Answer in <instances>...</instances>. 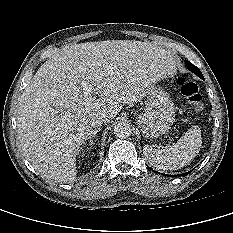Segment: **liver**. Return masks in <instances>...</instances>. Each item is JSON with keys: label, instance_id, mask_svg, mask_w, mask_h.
Wrapping results in <instances>:
<instances>
[{"label": "liver", "instance_id": "6515ba94", "mask_svg": "<svg viewBox=\"0 0 233 233\" xmlns=\"http://www.w3.org/2000/svg\"><path fill=\"white\" fill-rule=\"evenodd\" d=\"M173 70L168 52L147 42L107 40L63 48L40 66L20 97L17 132L26 158L42 177L72 181L80 148L94 132L90 118H115L123 105L140 102ZM83 84L92 86L90 95Z\"/></svg>", "mask_w": 233, "mask_h": 233}]
</instances>
